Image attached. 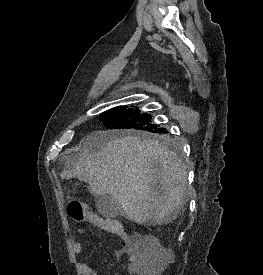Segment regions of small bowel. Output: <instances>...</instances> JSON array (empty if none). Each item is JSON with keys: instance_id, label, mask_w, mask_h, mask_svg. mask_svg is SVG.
Wrapping results in <instances>:
<instances>
[{"instance_id": "1", "label": "small bowel", "mask_w": 263, "mask_h": 275, "mask_svg": "<svg viewBox=\"0 0 263 275\" xmlns=\"http://www.w3.org/2000/svg\"><path fill=\"white\" fill-rule=\"evenodd\" d=\"M99 217V216H98ZM99 221L93 223L94 225L106 230V224L109 219L99 217ZM85 236L82 235L73 244V252L76 256L80 255L83 251V240ZM123 253L128 256L127 269L132 274L144 275L146 270V257L144 250L140 245H131L123 250ZM79 268L83 275H98L96 270L85 262L79 263Z\"/></svg>"}]
</instances>
